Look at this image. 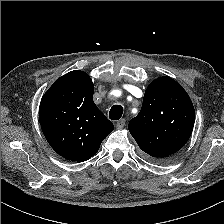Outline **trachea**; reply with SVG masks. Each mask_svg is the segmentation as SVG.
Returning <instances> with one entry per match:
<instances>
[{"instance_id": "trachea-1", "label": "trachea", "mask_w": 224, "mask_h": 224, "mask_svg": "<svg viewBox=\"0 0 224 224\" xmlns=\"http://www.w3.org/2000/svg\"><path fill=\"white\" fill-rule=\"evenodd\" d=\"M123 114V107L121 105H114L109 111V118L111 120H119Z\"/></svg>"}]
</instances>
